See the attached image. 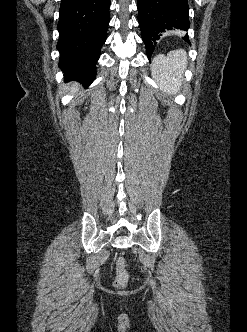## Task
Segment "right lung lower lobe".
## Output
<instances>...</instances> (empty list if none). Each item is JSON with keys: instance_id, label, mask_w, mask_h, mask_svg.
Instances as JSON below:
<instances>
[{"instance_id": "1", "label": "right lung lower lobe", "mask_w": 247, "mask_h": 332, "mask_svg": "<svg viewBox=\"0 0 247 332\" xmlns=\"http://www.w3.org/2000/svg\"><path fill=\"white\" fill-rule=\"evenodd\" d=\"M110 0H61L59 9V67L67 81L89 86L106 41Z\"/></svg>"}]
</instances>
